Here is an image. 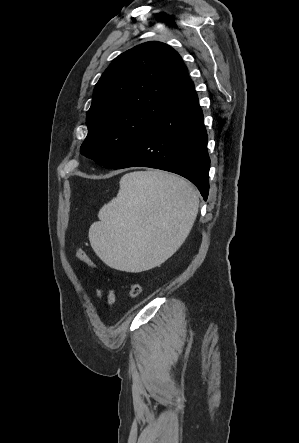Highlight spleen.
Wrapping results in <instances>:
<instances>
[{"instance_id":"spleen-1","label":"spleen","mask_w":299,"mask_h":443,"mask_svg":"<svg viewBox=\"0 0 299 443\" xmlns=\"http://www.w3.org/2000/svg\"><path fill=\"white\" fill-rule=\"evenodd\" d=\"M192 185L175 175L151 170L125 174L116 198L99 211L89 229L95 253L111 268L152 269L183 244L198 213Z\"/></svg>"}]
</instances>
